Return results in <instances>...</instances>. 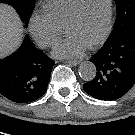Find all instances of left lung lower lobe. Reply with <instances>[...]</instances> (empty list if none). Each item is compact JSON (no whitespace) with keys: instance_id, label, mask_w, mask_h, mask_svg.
I'll return each mask as SVG.
<instances>
[{"instance_id":"0a47b994","label":"left lung lower lobe","mask_w":135,"mask_h":135,"mask_svg":"<svg viewBox=\"0 0 135 135\" xmlns=\"http://www.w3.org/2000/svg\"><path fill=\"white\" fill-rule=\"evenodd\" d=\"M96 76L83 84L84 91L99 100H116L135 84V26L129 33L108 39L90 59Z\"/></svg>"}]
</instances>
